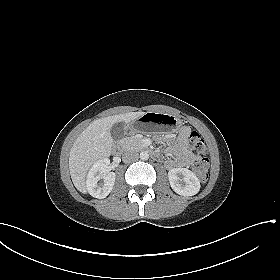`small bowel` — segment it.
Masks as SVG:
<instances>
[{"mask_svg": "<svg viewBox=\"0 0 280 280\" xmlns=\"http://www.w3.org/2000/svg\"><path fill=\"white\" fill-rule=\"evenodd\" d=\"M190 129L183 127L177 137L171 142L170 154L171 157L165 161V166L168 169L176 167H188L199 157L188 149V134Z\"/></svg>", "mask_w": 280, "mask_h": 280, "instance_id": "1", "label": "small bowel"}]
</instances>
